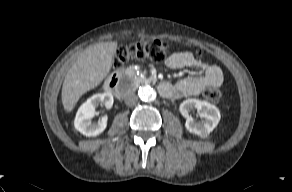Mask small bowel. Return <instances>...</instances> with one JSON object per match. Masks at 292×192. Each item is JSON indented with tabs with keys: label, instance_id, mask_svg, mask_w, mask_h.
I'll use <instances>...</instances> for the list:
<instances>
[{
	"label": "small bowel",
	"instance_id": "1",
	"mask_svg": "<svg viewBox=\"0 0 292 192\" xmlns=\"http://www.w3.org/2000/svg\"><path fill=\"white\" fill-rule=\"evenodd\" d=\"M166 65L171 69L196 67L201 70L200 74L185 78L171 85L170 92L164 97H186L198 95L206 88L219 86L223 81L222 70L213 64L205 63L196 58L191 52H176L171 54Z\"/></svg>",
	"mask_w": 292,
	"mask_h": 192
}]
</instances>
